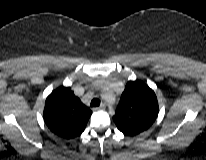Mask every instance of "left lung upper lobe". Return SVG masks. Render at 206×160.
<instances>
[{"mask_svg": "<svg viewBox=\"0 0 206 160\" xmlns=\"http://www.w3.org/2000/svg\"><path fill=\"white\" fill-rule=\"evenodd\" d=\"M159 106L154 91L142 81H129L122 93L113 120L128 136L147 130L158 116Z\"/></svg>", "mask_w": 206, "mask_h": 160, "instance_id": "left-lung-upper-lobe-1", "label": "left lung upper lobe"}]
</instances>
